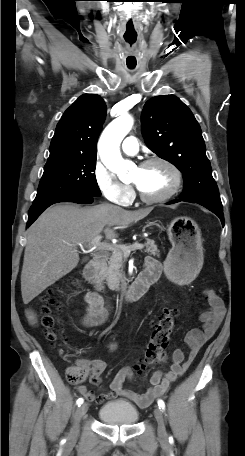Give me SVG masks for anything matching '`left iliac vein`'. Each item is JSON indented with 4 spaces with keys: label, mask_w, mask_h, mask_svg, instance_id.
Instances as JSON below:
<instances>
[{
    "label": "left iliac vein",
    "mask_w": 245,
    "mask_h": 456,
    "mask_svg": "<svg viewBox=\"0 0 245 456\" xmlns=\"http://www.w3.org/2000/svg\"><path fill=\"white\" fill-rule=\"evenodd\" d=\"M154 416H155V419L157 421V433H158V436H159L160 440L165 441L167 439L168 435H167V431H166V428H165L163 411L160 408L155 407Z\"/></svg>",
    "instance_id": "1"
}]
</instances>
